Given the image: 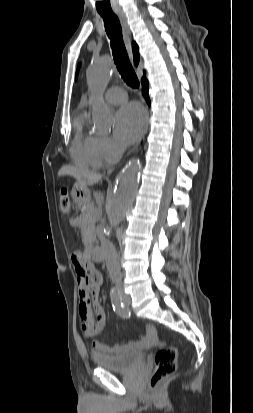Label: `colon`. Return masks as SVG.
<instances>
[{
	"mask_svg": "<svg viewBox=\"0 0 253 413\" xmlns=\"http://www.w3.org/2000/svg\"><path fill=\"white\" fill-rule=\"evenodd\" d=\"M59 207L62 214H68L71 210V200L66 190L59 197ZM178 349L168 346L159 349L155 355V368L149 381V389L154 391L162 381L174 374L177 367Z\"/></svg>",
	"mask_w": 253,
	"mask_h": 413,
	"instance_id": "obj_1",
	"label": "colon"
}]
</instances>
